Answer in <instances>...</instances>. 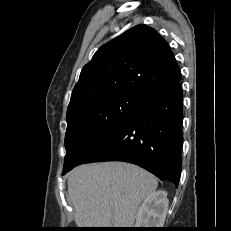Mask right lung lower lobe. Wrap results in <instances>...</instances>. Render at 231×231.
Masks as SVG:
<instances>
[{"mask_svg":"<svg viewBox=\"0 0 231 231\" xmlns=\"http://www.w3.org/2000/svg\"><path fill=\"white\" fill-rule=\"evenodd\" d=\"M182 101L181 82L141 95L136 112L77 165L101 161L129 162L177 186L182 162Z\"/></svg>","mask_w":231,"mask_h":231,"instance_id":"obj_1","label":"right lung lower lobe"}]
</instances>
